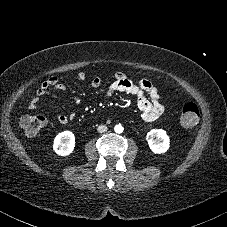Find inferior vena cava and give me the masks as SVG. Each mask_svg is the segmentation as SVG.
Listing matches in <instances>:
<instances>
[{
  "label": "inferior vena cava",
  "instance_id": "inferior-vena-cava-1",
  "mask_svg": "<svg viewBox=\"0 0 227 227\" xmlns=\"http://www.w3.org/2000/svg\"><path fill=\"white\" fill-rule=\"evenodd\" d=\"M108 130L107 126L106 125H99L98 128H97V131L99 133H104Z\"/></svg>",
  "mask_w": 227,
  "mask_h": 227
}]
</instances>
